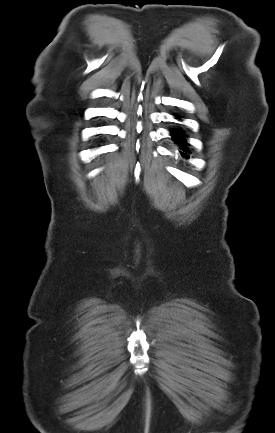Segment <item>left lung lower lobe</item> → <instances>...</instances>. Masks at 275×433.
<instances>
[{"instance_id":"obj_1","label":"left lung lower lobe","mask_w":275,"mask_h":433,"mask_svg":"<svg viewBox=\"0 0 275 433\" xmlns=\"http://www.w3.org/2000/svg\"><path fill=\"white\" fill-rule=\"evenodd\" d=\"M179 117V116H177ZM171 136H172V140L178 145V151L180 153V155L185 158V159H189L190 158V151L188 149L189 144L187 143L186 140V135L185 133L180 130V129H175L171 131Z\"/></svg>"}]
</instances>
